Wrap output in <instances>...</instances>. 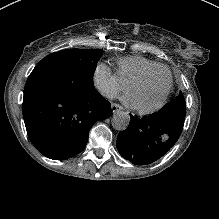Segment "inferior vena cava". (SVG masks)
Listing matches in <instances>:
<instances>
[{"label": "inferior vena cava", "mask_w": 219, "mask_h": 219, "mask_svg": "<svg viewBox=\"0 0 219 219\" xmlns=\"http://www.w3.org/2000/svg\"><path fill=\"white\" fill-rule=\"evenodd\" d=\"M107 95H108L109 97H110V96H111V97H114V96H115V94H114V93H112V92H110V93H109V92H108V93H106V96H107Z\"/></svg>", "instance_id": "602c4592"}]
</instances>
